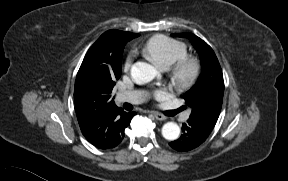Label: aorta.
I'll return each mask as SVG.
<instances>
[{"instance_id": "762f6f07", "label": "aorta", "mask_w": 288, "mask_h": 181, "mask_svg": "<svg viewBox=\"0 0 288 181\" xmlns=\"http://www.w3.org/2000/svg\"><path fill=\"white\" fill-rule=\"evenodd\" d=\"M157 73L156 68L146 62H136L131 67L132 79L138 84L152 81ZM162 135L167 140H176L180 135V127L175 122H167L162 127Z\"/></svg>"}]
</instances>
